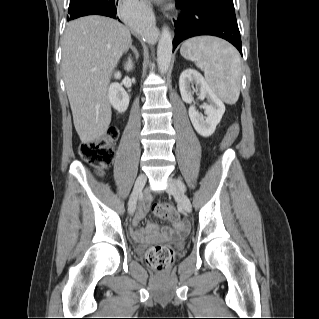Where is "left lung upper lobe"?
<instances>
[{
    "instance_id": "1",
    "label": "left lung upper lobe",
    "mask_w": 319,
    "mask_h": 319,
    "mask_svg": "<svg viewBox=\"0 0 319 319\" xmlns=\"http://www.w3.org/2000/svg\"><path fill=\"white\" fill-rule=\"evenodd\" d=\"M209 4L216 5L234 11L233 0H203Z\"/></svg>"
}]
</instances>
